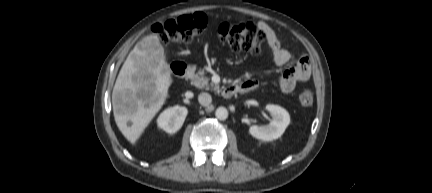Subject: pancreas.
I'll return each instance as SVG.
<instances>
[{
  "label": "pancreas",
  "mask_w": 432,
  "mask_h": 193,
  "mask_svg": "<svg viewBox=\"0 0 432 193\" xmlns=\"http://www.w3.org/2000/svg\"><path fill=\"white\" fill-rule=\"evenodd\" d=\"M204 70H199L196 75H194L192 83L198 88H203L205 90H219V86L213 83H209V78L205 77Z\"/></svg>",
  "instance_id": "pancreas-1"
}]
</instances>
